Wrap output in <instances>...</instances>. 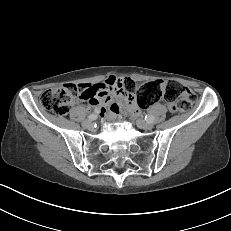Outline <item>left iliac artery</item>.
Returning a JSON list of instances; mask_svg holds the SVG:
<instances>
[{"mask_svg":"<svg viewBox=\"0 0 231 231\" xmlns=\"http://www.w3.org/2000/svg\"><path fill=\"white\" fill-rule=\"evenodd\" d=\"M145 120H146L147 122H150V123H151V122H153L154 117H153L152 115H149V114H148V115L145 116Z\"/></svg>","mask_w":231,"mask_h":231,"instance_id":"1","label":"left iliac artery"}]
</instances>
